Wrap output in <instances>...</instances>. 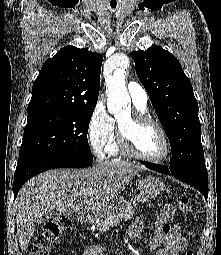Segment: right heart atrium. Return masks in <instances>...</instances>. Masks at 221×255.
<instances>
[{
	"label": "right heart atrium",
	"mask_w": 221,
	"mask_h": 255,
	"mask_svg": "<svg viewBox=\"0 0 221 255\" xmlns=\"http://www.w3.org/2000/svg\"><path fill=\"white\" fill-rule=\"evenodd\" d=\"M114 128V119L109 115L104 105L98 103L90 115L86 128L88 143L98 158L105 155V148Z\"/></svg>",
	"instance_id": "d8ad5b80"
}]
</instances>
